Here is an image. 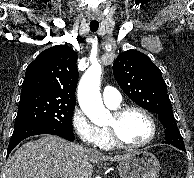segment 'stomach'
Here are the masks:
<instances>
[{
	"instance_id": "0dacf381",
	"label": "stomach",
	"mask_w": 194,
	"mask_h": 178,
	"mask_svg": "<svg viewBox=\"0 0 194 178\" xmlns=\"http://www.w3.org/2000/svg\"><path fill=\"white\" fill-rule=\"evenodd\" d=\"M118 171L121 178H157L160 164L148 151H137L120 161Z\"/></svg>"
}]
</instances>
